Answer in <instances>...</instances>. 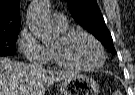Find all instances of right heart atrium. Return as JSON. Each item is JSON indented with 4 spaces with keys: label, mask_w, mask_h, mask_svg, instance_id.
<instances>
[{
    "label": "right heart atrium",
    "mask_w": 135,
    "mask_h": 95,
    "mask_svg": "<svg viewBox=\"0 0 135 95\" xmlns=\"http://www.w3.org/2000/svg\"><path fill=\"white\" fill-rule=\"evenodd\" d=\"M18 48L25 58L38 62H45L50 52L28 29L21 31L18 37Z\"/></svg>",
    "instance_id": "d8ad5b80"
}]
</instances>
